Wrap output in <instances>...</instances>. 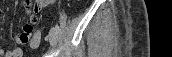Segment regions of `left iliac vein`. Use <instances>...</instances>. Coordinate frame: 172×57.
I'll use <instances>...</instances> for the list:
<instances>
[{
  "mask_svg": "<svg viewBox=\"0 0 172 57\" xmlns=\"http://www.w3.org/2000/svg\"><path fill=\"white\" fill-rule=\"evenodd\" d=\"M49 41H50L51 46H55L57 44L58 30L55 27L51 28L49 32Z\"/></svg>",
  "mask_w": 172,
  "mask_h": 57,
  "instance_id": "4c4485c4",
  "label": "left iliac vein"
}]
</instances>
